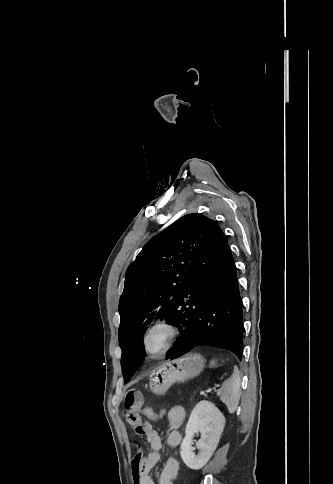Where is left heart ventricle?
Segmentation results:
<instances>
[{
	"instance_id": "obj_1",
	"label": "left heart ventricle",
	"mask_w": 333,
	"mask_h": 484,
	"mask_svg": "<svg viewBox=\"0 0 333 484\" xmlns=\"http://www.w3.org/2000/svg\"><path fill=\"white\" fill-rule=\"evenodd\" d=\"M157 341H158V336H155L151 341L152 347H154L157 344Z\"/></svg>"
}]
</instances>
